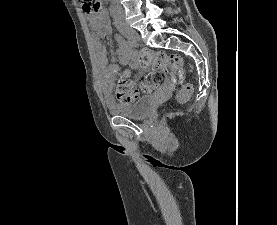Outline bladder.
Instances as JSON below:
<instances>
[{
    "label": "bladder",
    "mask_w": 277,
    "mask_h": 225,
    "mask_svg": "<svg viewBox=\"0 0 277 225\" xmlns=\"http://www.w3.org/2000/svg\"><path fill=\"white\" fill-rule=\"evenodd\" d=\"M109 111L115 115L132 119L143 118L153 109V97L151 94L139 96L132 102H117L107 105Z\"/></svg>",
    "instance_id": "31cf9c89"
}]
</instances>
